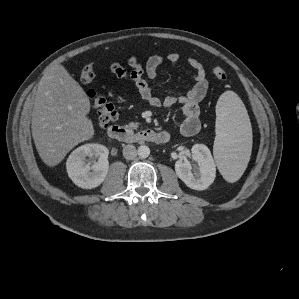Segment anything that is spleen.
<instances>
[{
	"label": "spleen",
	"mask_w": 299,
	"mask_h": 299,
	"mask_svg": "<svg viewBox=\"0 0 299 299\" xmlns=\"http://www.w3.org/2000/svg\"><path fill=\"white\" fill-rule=\"evenodd\" d=\"M213 154L223 178L234 183L243 175L252 149L250 119L239 96L225 91L216 105Z\"/></svg>",
	"instance_id": "1"
}]
</instances>
